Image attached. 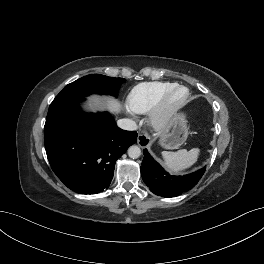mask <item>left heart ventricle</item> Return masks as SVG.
<instances>
[{
    "mask_svg": "<svg viewBox=\"0 0 264 264\" xmlns=\"http://www.w3.org/2000/svg\"><path fill=\"white\" fill-rule=\"evenodd\" d=\"M185 93H186V92H185V90H183V89L178 90V91L174 94V96H173V98H172V103H177V102L181 101V100L184 98Z\"/></svg>",
    "mask_w": 264,
    "mask_h": 264,
    "instance_id": "1",
    "label": "left heart ventricle"
}]
</instances>
